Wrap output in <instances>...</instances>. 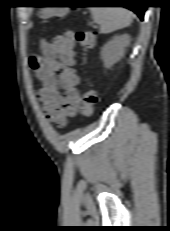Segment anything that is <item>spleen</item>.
I'll use <instances>...</instances> for the list:
<instances>
[{"label":"spleen","mask_w":170,"mask_h":231,"mask_svg":"<svg viewBox=\"0 0 170 231\" xmlns=\"http://www.w3.org/2000/svg\"><path fill=\"white\" fill-rule=\"evenodd\" d=\"M92 18L100 25V32L108 34L125 28L131 23L130 12L122 7H92Z\"/></svg>","instance_id":"spleen-1"}]
</instances>
